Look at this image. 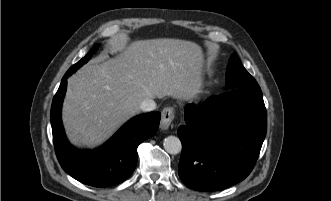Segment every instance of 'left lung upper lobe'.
<instances>
[{"mask_svg": "<svg viewBox=\"0 0 331 201\" xmlns=\"http://www.w3.org/2000/svg\"><path fill=\"white\" fill-rule=\"evenodd\" d=\"M226 85L232 89L259 86L256 80L244 68L236 54L231 56L227 66Z\"/></svg>", "mask_w": 331, "mask_h": 201, "instance_id": "5c2ea615", "label": "left lung upper lobe"}]
</instances>
